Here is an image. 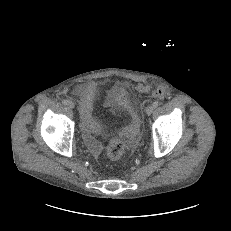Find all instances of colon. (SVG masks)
Listing matches in <instances>:
<instances>
[{
    "instance_id": "colon-1",
    "label": "colon",
    "mask_w": 231,
    "mask_h": 231,
    "mask_svg": "<svg viewBox=\"0 0 231 231\" xmlns=\"http://www.w3.org/2000/svg\"><path fill=\"white\" fill-rule=\"evenodd\" d=\"M137 90L140 92H147L149 90V86L147 84H138ZM126 87L122 85H117L114 87L113 92L117 96L122 97L123 100H126ZM153 95L158 98H162L164 96V91L161 88H157ZM125 106L129 108V106L125 102ZM137 122L135 121V124ZM125 152V142L119 138L115 137L110 140L107 149H106V155L107 158L111 161H116L122 157V155Z\"/></svg>"
}]
</instances>
